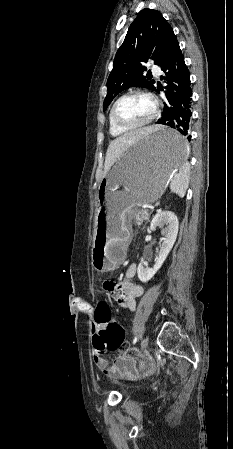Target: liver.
<instances>
[{
	"label": "liver",
	"mask_w": 233,
	"mask_h": 449,
	"mask_svg": "<svg viewBox=\"0 0 233 449\" xmlns=\"http://www.w3.org/2000/svg\"><path fill=\"white\" fill-rule=\"evenodd\" d=\"M161 126L153 125L130 131L128 133H122L120 137L113 140L107 149L104 173L106 174L111 166L127 151V149L135 142H141L142 137L159 130Z\"/></svg>",
	"instance_id": "obj_1"
}]
</instances>
